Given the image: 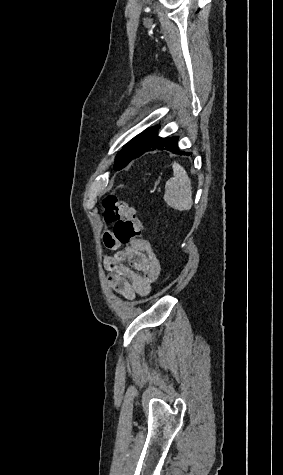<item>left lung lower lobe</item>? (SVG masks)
<instances>
[{"instance_id": "obj_1", "label": "left lung lower lobe", "mask_w": 283, "mask_h": 475, "mask_svg": "<svg viewBox=\"0 0 283 475\" xmlns=\"http://www.w3.org/2000/svg\"><path fill=\"white\" fill-rule=\"evenodd\" d=\"M159 126L146 129L133 138L116 156L115 170H121L135 158H139L146 152L153 150H167L180 155H190L189 152H182L178 147L177 136L162 138L157 135Z\"/></svg>"}]
</instances>
